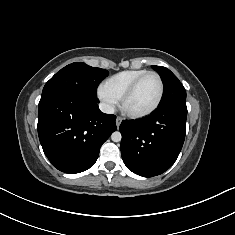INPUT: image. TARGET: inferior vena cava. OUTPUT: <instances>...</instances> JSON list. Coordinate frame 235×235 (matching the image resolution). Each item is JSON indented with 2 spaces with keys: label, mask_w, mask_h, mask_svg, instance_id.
<instances>
[{
  "label": "inferior vena cava",
  "mask_w": 235,
  "mask_h": 235,
  "mask_svg": "<svg viewBox=\"0 0 235 235\" xmlns=\"http://www.w3.org/2000/svg\"><path fill=\"white\" fill-rule=\"evenodd\" d=\"M99 109L103 112V113H107V114H113L115 112V108L112 105H109L107 103H100L99 104Z\"/></svg>",
  "instance_id": "inferior-vena-cava-1"
}]
</instances>
